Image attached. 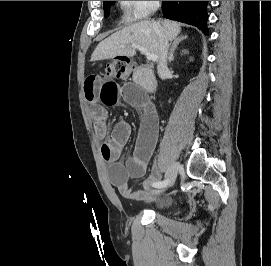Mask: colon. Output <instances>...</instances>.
I'll use <instances>...</instances> for the list:
<instances>
[{"label": "colon", "instance_id": "1", "mask_svg": "<svg viewBox=\"0 0 271 266\" xmlns=\"http://www.w3.org/2000/svg\"><path fill=\"white\" fill-rule=\"evenodd\" d=\"M130 67L131 64L128 59L117 58L105 65V72L110 77L123 79L129 75Z\"/></svg>", "mask_w": 271, "mask_h": 266}]
</instances>
